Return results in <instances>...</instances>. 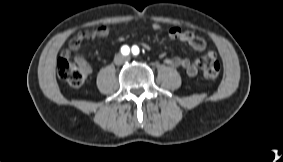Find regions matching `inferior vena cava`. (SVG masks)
Segmentation results:
<instances>
[{
	"mask_svg": "<svg viewBox=\"0 0 283 162\" xmlns=\"http://www.w3.org/2000/svg\"><path fill=\"white\" fill-rule=\"evenodd\" d=\"M127 60L126 56L122 55V54H117L114 58V63L117 65L122 64L123 62H125Z\"/></svg>",
	"mask_w": 283,
	"mask_h": 162,
	"instance_id": "inferior-vena-cava-1",
	"label": "inferior vena cava"
}]
</instances>
